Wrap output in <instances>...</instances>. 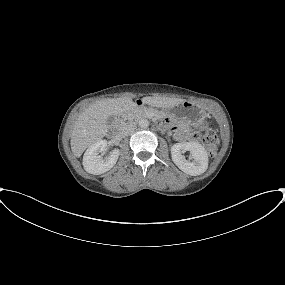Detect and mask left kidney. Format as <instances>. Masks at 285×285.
Listing matches in <instances>:
<instances>
[{
	"instance_id": "obj_1",
	"label": "left kidney",
	"mask_w": 285,
	"mask_h": 285,
	"mask_svg": "<svg viewBox=\"0 0 285 285\" xmlns=\"http://www.w3.org/2000/svg\"><path fill=\"white\" fill-rule=\"evenodd\" d=\"M185 151H190L194 159L192 162L182 155ZM171 155L177 167L191 176L200 175L208 168V154L198 142L176 143L171 147Z\"/></svg>"
}]
</instances>
